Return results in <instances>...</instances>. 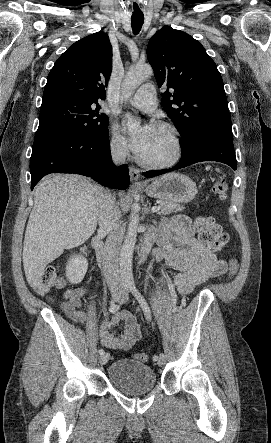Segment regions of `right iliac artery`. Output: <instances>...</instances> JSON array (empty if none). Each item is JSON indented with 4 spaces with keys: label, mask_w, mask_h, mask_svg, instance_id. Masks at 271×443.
Returning a JSON list of instances; mask_svg holds the SVG:
<instances>
[{
    "label": "right iliac artery",
    "mask_w": 271,
    "mask_h": 443,
    "mask_svg": "<svg viewBox=\"0 0 271 443\" xmlns=\"http://www.w3.org/2000/svg\"><path fill=\"white\" fill-rule=\"evenodd\" d=\"M127 291H129V287L125 288ZM120 309V305L119 304H112L109 308V311L111 313H116L118 310ZM105 353L104 349H100L99 350V354L103 355Z\"/></svg>",
    "instance_id": "82829eb1"
}]
</instances>
